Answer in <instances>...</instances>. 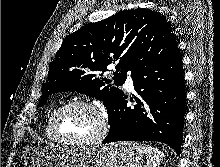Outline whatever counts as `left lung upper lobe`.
Segmentation results:
<instances>
[{
    "instance_id": "5c2ea615",
    "label": "left lung upper lobe",
    "mask_w": 220,
    "mask_h": 167,
    "mask_svg": "<svg viewBox=\"0 0 220 167\" xmlns=\"http://www.w3.org/2000/svg\"><path fill=\"white\" fill-rule=\"evenodd\" d=\"M177 47L170 25L148 9L124 10L87 24L63 41L50 65L38 106L56 92H80L104 102L108 115L124 92L118 88L146 65ZM116 64L113 80L101 78L107 66Z\"/></svg>"
}]
</instances>
